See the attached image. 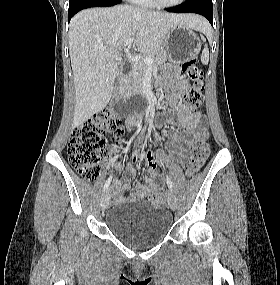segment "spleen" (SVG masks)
<instances>
[{
    "instance_id": "spleen-1",
    "label": "spleen",
    "mask_w": 280,
    "mask_h": 285,
    "mask_svg": "<svg viewBox=\"0 0 280 285\" xmlns=\"http://www.w3.org/2000/svg\"><path fill=\"white\" fill-rule=\"evenodd\" d=\"M209 30V27L207 25L203 26L200 31L202 33H206L207 31ZM201 62L204 64V65H207L208 62H209V49H208V46L205 45V48L203 49L202 51V55H201Z\"/></svg>"
}]
</instances>
